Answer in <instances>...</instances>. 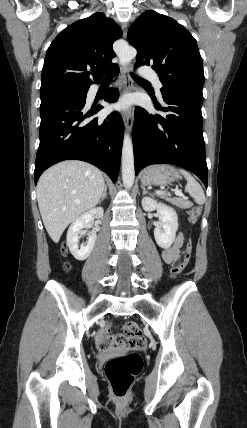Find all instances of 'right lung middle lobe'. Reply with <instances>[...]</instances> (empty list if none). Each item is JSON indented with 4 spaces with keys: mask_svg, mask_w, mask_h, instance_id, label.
Segmentation results:
<instances>
[{
    "mask_svg": "<svg viewBox=\"0 0 247 428\" xmlns=\"http://www.w3.org/2000/svg\"><path fill=\"white\" fill-rule=\"evenodd\" d=\"M89 88H64L40 93L41 102L55 99H85Z\"/></svg>",
    "mask_w": 247,
    "mask_h": 428,
    "instance_id": "right-lung-middle-lobe-1",
    "label": "right lung middle lobe"
}]
</instances>
